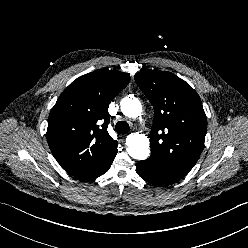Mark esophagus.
<instances>
[{
  "label": "esophagus",
  "instance_id": "esophagus-1",
  "mask_svg": "<svg viewBox=\"0 0 248 248\" xmlns=\"http://www.w3.org/2000/svg\"><path fill=\"white\" fill-rule=\"evenodd\" d=\"M126 136H127V134H123V135H121V137H122V138H125Z\"/></svg>",
  "mask_w": 248,
  "mask_h": 248
}]
</instances>
